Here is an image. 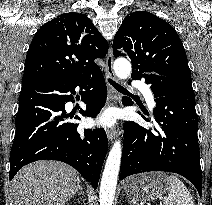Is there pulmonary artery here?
Listing matches in <instances>:
<instances>
[{
	"label": "pulmonary artery",
	"mask_w": 212,
	"mask_h": 205,
	"mask_svg": "<svg viewBox=\"0 0 212 205\" xmlns=\"http://www.w3.org/2000/svg\"><path fill=\"white\" fill-rule=\"evenodd\" d=\"M134 87L142 92L149 106L153 108L155 106L154 96L149 86L143 82H135Z\"/></svg>",
	"instance_id": "1"
}]
</instances>
